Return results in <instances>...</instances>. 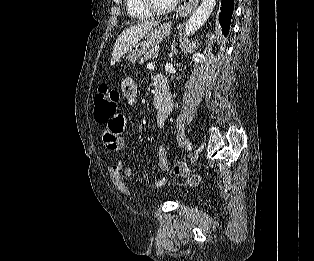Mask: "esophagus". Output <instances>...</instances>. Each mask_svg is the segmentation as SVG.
Instances as JSON below:
<instances>
[{
  "label": "esophagus",
  "instance_id": "esophagus-1",
  "mask_svg": "<svg viewBox=\"0 0 314 261\" xmlns=\"http://www.w3.org/2000/svg\"><path fill=\"white\" fill-rule=\"evenodd\" d=\"M198 2L199 0H189L188 2L185 0L184 3L179 6V13H182L186 16L191 14V12L194 11L197 7Z\"/></svg>",
  "mask_w": 314,
  "mask_h": 261
}]
</instances>
